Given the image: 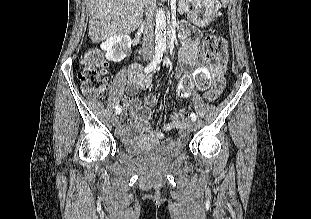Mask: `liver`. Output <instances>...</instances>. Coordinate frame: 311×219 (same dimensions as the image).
<instances>
[{
  "mask_svg": "<svg viewBox=\"0 0 311 219\" xmlns=\"http://www.w3.org/2000/svg\"><path fill=\"white\" fill-rule=\"evenodd\" d=\"M93 43L133 32L142 21L143 0H87Z\"/></svg>",
  "mask_w": 311,
  "mask_h": 219,
  "instance_id": "obj_1",
  "label": "liver"
}]
</instances>
